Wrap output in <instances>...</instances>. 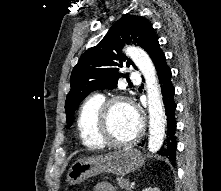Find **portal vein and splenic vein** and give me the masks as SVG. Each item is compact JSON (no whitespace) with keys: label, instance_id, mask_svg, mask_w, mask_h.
Segmentation results:
<instances>
[{"label":"portal vein and splenic vein","instance_id":"18ae733b","mask_svg":"<svg viewBox=\"0 0 221 191\" xmlns=\"http://www.w3.org/2000/svg\"><path fill=\"white\" fill-rule=\"evenodd\" d=\"M131 186H132V188H133V186H134V183H133V182L131 183Z\"/></svg>","mask_w":221,"mask_h":191}]
</instances>
